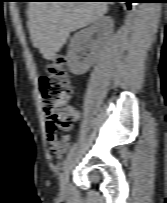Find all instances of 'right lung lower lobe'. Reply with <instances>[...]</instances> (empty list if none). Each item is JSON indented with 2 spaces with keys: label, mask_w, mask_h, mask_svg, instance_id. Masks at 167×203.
<instances>
[{
  "label": "right lung lower lobe",
  "mask_w": 167,
  "mask_h": 203,
  "mask_svg": "<svg viewBox=\"0 0 167 203\" xmlns=\"http://www.w3.org/2000/svg\"><path fill=\"white\" fill-rule=\"evenodd\" d=\"M103 1H112V2H125L127 5V8L130 9L131 8V3L134 0H103Z\"/></svg>",
  "instance_id": "1"
}]
</instances>
